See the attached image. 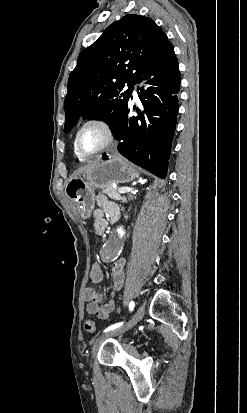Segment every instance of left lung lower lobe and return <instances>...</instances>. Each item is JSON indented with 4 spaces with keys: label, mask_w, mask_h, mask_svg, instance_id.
Returning <instances> with one entry per match:
<instances>
[{
    "label": "left lung lower lobe",
    "mask_w": 247,
    "mask_h": 413,
    "mask_svg": "<svg viewBox=\"0 0 247 413\" xmlns=\"http://www.w3.org/2000/svg\"><path fill=\"white\" fill-rule=\"evenodd\" d=\"M141 100L137 117H129L127 108L114 137L120 142L118 151L131 162L165 178L171 153L180 89L179 66L173 47L166 48L138 78ZM103 159H108L104 155Z\"/></svg>",
    "instance_id": "left-lung-lower-lobe-1"
}]
</instances>
